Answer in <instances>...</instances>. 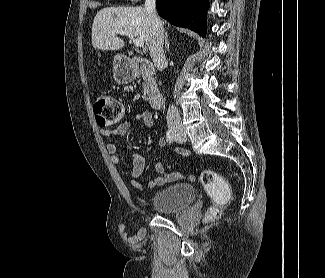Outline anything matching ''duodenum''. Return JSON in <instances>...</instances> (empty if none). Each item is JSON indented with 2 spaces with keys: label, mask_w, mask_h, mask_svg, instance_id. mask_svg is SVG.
<instances>
[{
  "label": "duodenum",
  "mask_w": 325,
  "mask_h": 278,
  "mask_svg": "<svg viewBox=\"0 0 325 278\" xmlns=\"http://www.w3.org/2000/svg\"><path fill=\"white\" fill-rule=\"evenodd\" d=\"M132 66L135 74L143 77H151L154 74L153 65L145 58H132ZM149 104L153 109L161 108L163 96L160 93L153 92L149 96Z\"/></svg>",
  "instance_id": "1"
}]
</instances>
